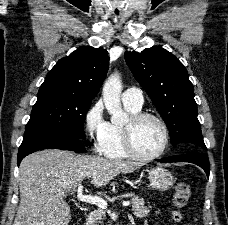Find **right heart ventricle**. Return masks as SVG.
<instances>
[{"label":"right heart ventricle","instance_id":"1","mask_svg":"<svg viewBox=\"0 0 228 225\" xmlns=\"http://www.w3.org/2000/svg\"><path fill=\"white\" fill-rule=\"evenodd\" d=\"M126 111L133 115L140 112L141 108L124 105ZM123 125L112 122L107 136L100 142L98 151L109 158H128L132 155L127 151L124 143Z\"/></svg>","mask_w":228,"mask_h":225}]
</instances>
